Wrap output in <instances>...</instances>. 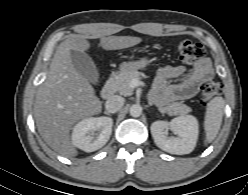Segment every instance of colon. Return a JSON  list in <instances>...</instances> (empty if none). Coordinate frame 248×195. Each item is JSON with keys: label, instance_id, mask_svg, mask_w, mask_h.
<instances>
[{"label": "colon", "instance_id": "obj_1", "mask_svg": "<svg viewBox=\"0 0 248 195\" xmlns=\"http://www.w3.org/2000/svg\"><path fill=\"white\" fill-rule=\"evenodd\" d=\"M175 50L181 62L185 64H192L201 59L205 55V48L202 44L190 40H180L175 43ZM222 90V86L215 82L208 80L203 83L201 87L200 102L205 105L212 98L218 95Z\"/></svg>", "mask_w": 248, "mask_h": 195}]
</instances>
